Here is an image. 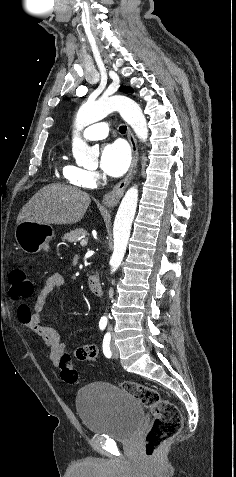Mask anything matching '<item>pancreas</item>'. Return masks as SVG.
Wrapping results in <instances>:
<instances>
[{"mask_svg":"<svg viewBox=\"0 0 236 477\" xmlns=\"http://www.w3.org/2000/svg\"><path fill=\"white\" fill-rule=\"evenodd\" d=\"M88 236V233L85 229L83 228H79V229H75L69 233H66L63 237H62V240L63 241H68L70 243H76L78 242L79 240H81L82 238H85Z\"/></svg>","mask_w":236,"mask_h":477,"instance_id":"1","label":"pancreas"}]
</instances>
